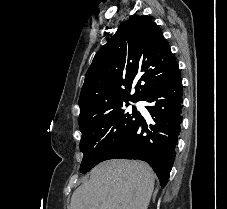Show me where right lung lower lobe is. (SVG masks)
I'll use <instances>...</instances> for the list:
<instances>
[{"label": "right lung lower lobe", "mask_w": 227, "mask_h": 209, "mask_svg": "<svg viewBox=\"0 0 227 209\" xmlns=\"http://www.w3.org/2000/svg\"><path fill=\"white\" fill-rule=\"evenodd\" d=\"M153 73L167 74L165 81L144 98L151 104L146 106V109L154 124L147 123L141 115L102 161L109 159L146 161L157 174L163 188L168 182L175 158V146L182 122V81L178 63L169 67L157 66Z\"/></svg>", "instance_id": "right-lung-lower-lobe-1"}]
</instances>
